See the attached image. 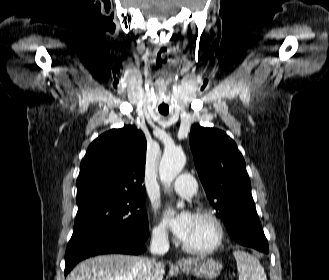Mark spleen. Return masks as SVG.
Listing matches in <instances>:
<instances>
[{
  "mask_svg": "<svg viewBox=\"0 0 329 280\" xmlns=\"http://www.w3.org/2000/svg\"><path fill=\"white\" fill-rule=\"evenodd\" d=\"M238 269V280H267L259 260L244 251L233 253Z\"/></svg>",
  "mask_w": 329,
  "mask_h": 280,
  "instance_id": "3e777b00",
  "label": "spleen"
}]
</instances>
